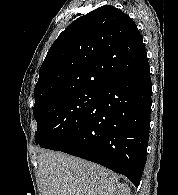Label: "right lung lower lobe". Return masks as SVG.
<instances>
[{"label":"right lung lower lobe","instance_id":"98d812e1","mask_svg":"<svg viewBox=\"0 0 178 195\" xmlns=\"http://www.w3.org/2000/svg\"><path fill=\"white\" fill-rule=\"evenodd\" d=\"M151 91L148 63L104 85L53 150L103 165L138 186L146 163Z\"/></svg>","mask_w":178,"mask_h":195}]
</instances>
